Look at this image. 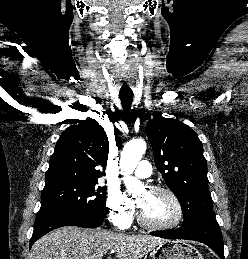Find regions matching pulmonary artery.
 <instances>
[{"instance_id": "e3ab8cb5", "label": "pulmonary artery", "mask_w": 248, "mask_h": 259, "mask_svg": "<svg viewBox=\"0 0 248 259\" xmlns=\"http://www.w3.org/2000/svg\"><path fill=\"white\" fill-rule=\"evenodd\" d=\"M152 167L147 160H143L139 163L134 175L138 178H147L151 175Z\"/></svg>"}]
</instances>
